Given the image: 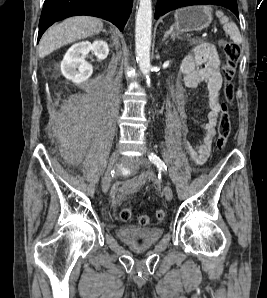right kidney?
<instances>
[{"label": "right kidney", "instance_id": "right-kidney-1", "mask_svg": "<svg viewBox=\"0 0 267 298\" xmlns=\"http://www.w3.org/2000/svg\"><path fill=\"white\" fill-rule=\"evenodd\" d=\"M91 50L99 61L106 59L109 53L108 45L103 40H95L93 43L83 41L72 45L61 62V71L66 79L79 84L92 75V65L83 58Z\"/></svg>", "mask_w": 267, "mask_h": 298}]
</instances>
